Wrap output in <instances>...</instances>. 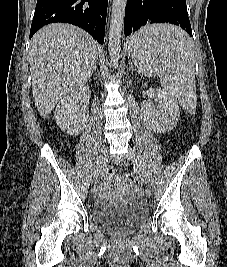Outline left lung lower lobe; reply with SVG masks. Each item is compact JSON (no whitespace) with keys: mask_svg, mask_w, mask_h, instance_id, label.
Segmentation results:
<instances>
[{"mask_svg":"<svg viewBox=\"0 0 227 267\" xmlns=\"http://www.w3.org/2000/svg\"><path fill=\"white\" fill-rule=\"evenodd\" d=\"M152 23L175 24L192 36L186 0H127L124 20L125 36ZM133 35L130 38H133ZM159 44L164 47H172L178 45L179 41L169 39L161 41Z\"/></svg>","mask_w":227,"mask_h":267,"instance_id":"left-lung-lower-lobe-1","label":"left lung lower lobe"}]
</instances>
